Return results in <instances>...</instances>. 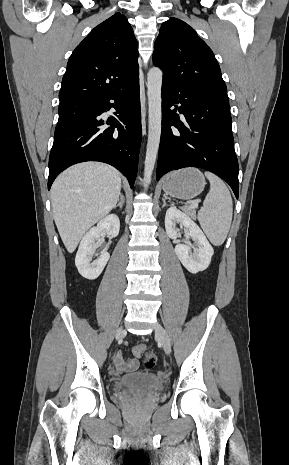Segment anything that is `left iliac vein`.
Segmentation results:
<instances>
[{
  "mask_svg": "<svg viewBox=\"0 0 289 465\" xmlns=\"http://www.w3.org/2000/svg\"><path fill=\"white\" fill-rule=\"evenodd\" d=\"M155 333L159 337L163 348L167 354L171 352V342L166 330L160 325L157 324L155 327Z\"/></svg>",
  "mask_w": 289,
  "mask_h": 465,
  "instance_id": "obj_1",
  "label": "left iliac vein"
}]
</instances>
